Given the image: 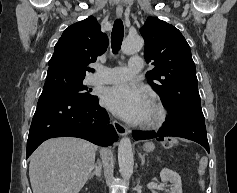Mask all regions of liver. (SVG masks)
I'll return each mask as SVG.
<instances>
[{"label": "liver", "mask_w": 237, "mask_h": 193, "mask_svg": "<svg viewBox=\"0 0 237 193\" xmlns=\"http://www.w3.org/2000/svg\"><path fill=\"white\" fill-rule=\"evenodd\" d=\"M96 150L94 144L73 137L43 142L30 158L33 193H78L94 168Z\"/></svg>", "instance_id": "liver-1"}]
</instances>
